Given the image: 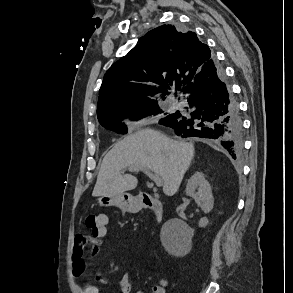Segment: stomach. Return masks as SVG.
<instances>
[{
  "mask_svg": "<svg viewBox=\"0 0 293 293\" xmlns=\"http://www.w3.org/2000/svg\"><path fill=\"white\" fill-rule=\"evenodd\" d=\"M97 201L100 206H116L126 212H131L137 207L134 197L126 192L113 196H100Z\"/></svg>",
  "mask_w": 293,
  "mask_h": 293,
  "instance_id": "0dacf381",
  "label": "stomach"
}]
</instances>
